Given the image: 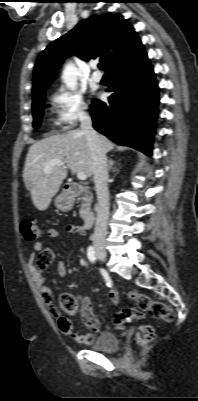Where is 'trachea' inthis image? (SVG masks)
<instances>
[{
	"mask_svg": "<svg viewBox=\"0 0 198 401\" xmlns=\"http://www.w3.org/2000/svg\"><path fill=\"white\" fill-rule=\"evenodd\" d=\"M98 67H99V69L102 70L103 69V64H99Z\"/></svg>",
	"mask_w": 198,
	"mask_h": 401,
	"instance_id": "3493384b",
	"label": "trachea"
}]
</instances>
